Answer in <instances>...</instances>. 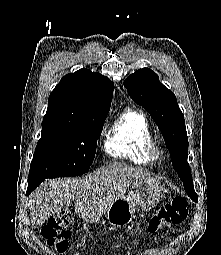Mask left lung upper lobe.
<instances>
[{"label":"left lung upper lobe","instance_id":"obj_1","mask_svg":"<svg viewBox=\"0 0 221 255\" xmlns=\"http://www.w3.org/2000/svg\"><path fill=\"white\" fill-rule=\"evenodd\" d=\"M130 97L146 109L164 138L169 149L173 168L183 182L188 196L198 201L194 191L191 169L187 162L188 138L184 115L173 92L159 82L157 74L143 68L124 81Z\"/></svg>","mask_w":221,"mask_h":255}]
</instances>
